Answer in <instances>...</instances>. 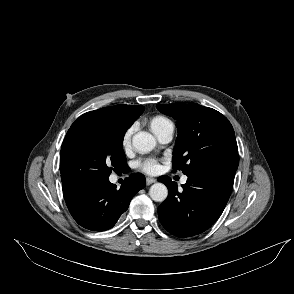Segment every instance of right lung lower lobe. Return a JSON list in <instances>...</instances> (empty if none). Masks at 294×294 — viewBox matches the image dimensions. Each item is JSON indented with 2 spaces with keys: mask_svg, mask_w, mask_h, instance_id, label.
I'll return each instance as SVG.
<instances>
[{
  "mask_svg": "<svg viewBox=\"0 0 294 294\" xmlns=\"http://www.w3.org/2000/svg\"><path fill=\"white\" fill-rule=\"evenodd\" d=\"M145 187L141 174H131L120 189L109 178L71 182L63 185L67 207L82 227L93 231L112 228L124 213L132 197Z\"/></svg>",
  "mask_w": 294,
  "mask_h": 294,
  "instance_id": "98d812e1",
  "label": "right lung lower lobe"
}]
</instances>
